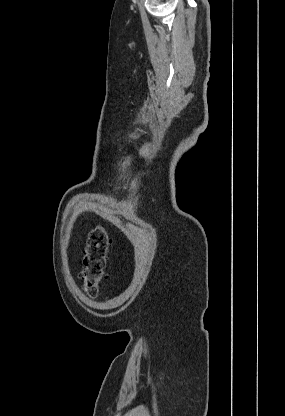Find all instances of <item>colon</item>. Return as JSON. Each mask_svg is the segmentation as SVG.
<instances>
[{"label":"colon","instance_id":"obj_1","mask_svg":"<svg viewBox=\"0 0 285 416\" xmlns=\"http://www.w3.org/2000/svg\"><path fill=\"white\" fill-rule=\"evenodd\" d=\"M110 239L107 231L97 226L88 235L83 258L84 290L90 296H96L99 285L105 277Z\"/></svg>","mask_w":285,"mask_h":416}]
</instances>
